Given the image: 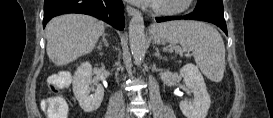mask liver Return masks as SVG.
I'll return each mask as SVG.
<instances>
[{
  "label": "liver",
  "mask_w": 273,
  "mask_h": 118,
  "mask_svg": "<svg viewBox=\"0 0 273 118\" xmlns=\"http://www.w3.org/2000/svg\"><path fill=\"white\" fill-rule=\"evenodd\" d=\"M104 30V22L88 15L55 17L46 26L47 55L54 64L67 65L90 53Z\"/></svg>",
  "instance_id": "1"
}]
</instances>
